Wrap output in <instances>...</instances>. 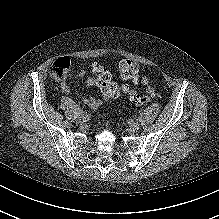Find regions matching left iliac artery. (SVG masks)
Returning a JSON list of instances; mask_svg holds the SVG:
<instances>
[{"label":"left iliac artery","mask_w":219,"mask_h":219,"mask_svg":"<svg viewBox=\"0 0 219 219\" xmlns=\"http://www.w3.org/2000/svg\"><path fill=\"white\" fill-rule=\"evenodd\" d=\"M136 120H137V121H140V118H139V117H136Z\"/></svg>","instance_id":"1"}]
</instances>
